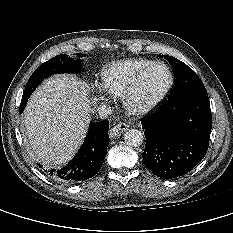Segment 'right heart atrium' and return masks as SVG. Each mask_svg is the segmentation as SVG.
Returning a JSON list of instances; mask_svg holds the SVG:
<instances>
[{"label": "right heart atrium", "instance_id": "d8ad5b80", "mask_svg": "<svg viewBox=\"0 0 233 233\" xmlns=\"http://www.w3.org/2000/svg\"><path fill=\"white\" fill-rule=\"evenodd\" d=\"M97 98L100 99V100H103V101H108V100L111 99V96L105 89L98 88Z\"/></svg>", "mask_w": 233, "mask_h": 233}]
</instances>
